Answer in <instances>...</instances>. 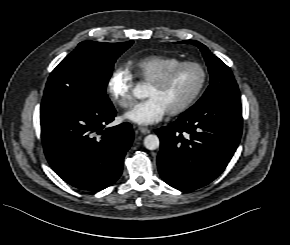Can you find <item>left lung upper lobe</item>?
I'll list each match as a JSON object with an SVG mask.
<instances>
[{"label": "left lung upper lobe", "mask_w": 290, "mask_h": 245, "mask_svg": "<svg viewBox=\"0 0 290 245\" xmlns=\"http://www.w3.org/2000/svg\"><path fill=\"white\" fill-rule=\"evenodd\" d=\"M181 43L193 44L201 50L210 73V86L195 105L212 101L240 103L238 85L230 68L202 43L194 40L182 41Z\"/></svg>", "instance_id": "1"}]
</instances>
